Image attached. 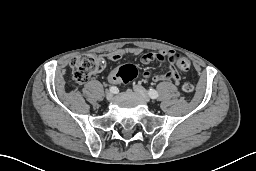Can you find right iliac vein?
Instances as JSON below:
<instances>
[{
	"label": "right iliac vein",
	"instance_id": "obj_1",
	"mask_svg": "<svg viewBox=\"0 0 256 171\" xmlns=\"http://www.w3.org/2000/svg\"><path fill=\"white\" fill-rule=\"evenodd\" d=\"M106 100H108V101H110V100H112V98H113V93L111 92V91H108L107 93H106Z\"/></svg>",
	"mask_w": 256,
	"mask_h": 171
}]
</instances>
